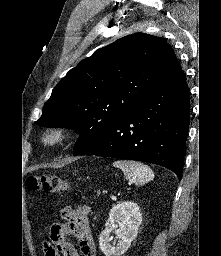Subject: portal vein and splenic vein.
<instances>
[{"instance_id":"18ae733b","label":"portal vein and splenic vein","mask_w":221,"mask_h":256,"mask_svg":"<svg viewBox=\"0 0 221 256\" xmlns=\"http://www.w3.org/2000/svg\"><path fill=\"white\" fill-rule=\"evenodd\" d=\"M111 199L114 201L117 200L116 196H114V195H111Z\"/></svg>"}]
</instances>
